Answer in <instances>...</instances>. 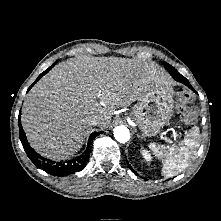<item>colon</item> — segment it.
<instances>
[{"label": "colon", "mask_w": 221, "mask_h": 221, "mask_svg": "<svg viewBox=\"0 0 221 221\" xmlns=\"http://www.w3.org/2000/svg\"><path fill=\"white\" fill-rule=\"evenodd\" d=\"M190 102V95L182 90L178 93L177 97V106L180 112H182L185 116L191 117L193 112L188 111L187 104Z\"/></svg>", "instance_id": "5ec220e1"}]
</instances>
